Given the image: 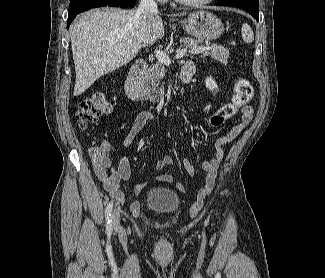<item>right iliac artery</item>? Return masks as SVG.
Masks as SVG:
<instances>
[{
  "label": "right iliac artery",
  "mask_w": 325,
  "mask_h": 278,
  "mask_svg": "<svg viewBox=\"0 0 325 278\" xmlns=\"http://www.w3.org/2000/svg\"><path fill=\"white\" fill-rule=\"evenodd\" d=\"M113 208V202H109L105 209V218H106V231L110 234L113 230L112 220H111V212Z\"/></svg>",
  "instance_id": "1"
}]
</instances>
